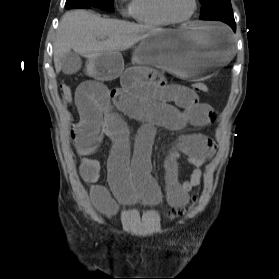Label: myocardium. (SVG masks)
Here are the masks:
<instances>
[{
	"label": "myocardium",
	"instance_id": "obj_1",
	"mask_svg": "<svg viewBox=\"0 0 279 279\" xmlns=\"http://www.w3.org/2000/svg\"><path fill=\"white\" fill-rule=\"evenodd\" d=\"M159 2V8H160V11L161 13L172 23H184V22H187L189 20H191L194 15L196 14L197 10H198V7H199V2L198 0H193V9L191 11V13L186 16V17H183V18H177L175 16H173L167 9V6H166V0H158Z\"/></svg>",
	"mask_w": 279,
	"mask_h": 279
}]
</instances>
